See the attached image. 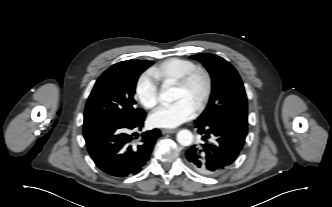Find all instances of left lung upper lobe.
I'll list each match as a JSON object with an SVG mask.
<instances>
[{
	"label": "left lung upper lobe",
	"mask_w": 332,
	"mask_h": 207,
	"mask_svg": "<svg viewBox=\"0 0 332 207\" xmlns=\"http://www.w3.org/2000/svg\"><path fill=\"white\" fill-rule=\"evenodd\" d=\"M191 58L202 62L212 77L209 103L196 122L209 123L231 116L247 117V97L236 69L213 54L200 53Z\"/></svg>",
	"instance_id": "5c2ea615"
}]
</instances>
